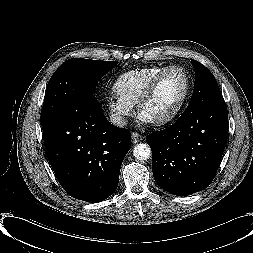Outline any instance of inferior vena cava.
<instances>
[{"label": "inferior vena cava", "instance_id": "obj_1", "mask_svg": "<svg viewBox=\"0 0 253 253\" xmlns=\"http://www.w3.org/2000/svg\"><path fill=\"white\" fill-rule=\"evenodd\" d=\"M110 122L112 124H114L115 126H118V127H123L125 125H127V119L122 116V115H119V114H112L110 116Z\"/></svg>", "mask_w": 253, "mask_h": 253}]
</instances>
